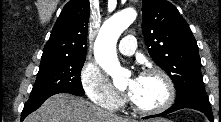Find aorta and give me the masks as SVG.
<instances>
[{
	"instance_id": "obj_1",
	"label": "aorta",
	"mask_w": 221,
	"mask_h": 122,
	"mask_svg": "<svg viewBox=\"0 0 221 122\" xmlns=\"http://www.w3.org/2000/svg\"><path fill=\"white\" fill-rule=\"evenodd\" d=\"M137 13L127 8L114 14L101 27L94 43V55L100 67L109 74L115 86L127 83V71L119 63L116 53L118 38L136 19Z\"/></svg>"
}]
</instances>
